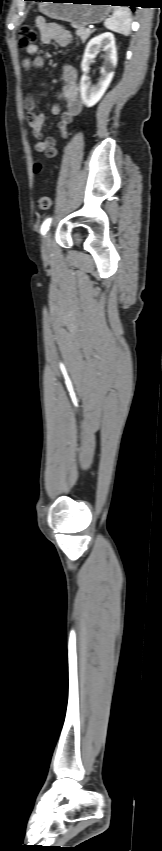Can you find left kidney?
Returning <instances> with one entry per match:
<instances>
[{
	"instance_id": "left-kidney-1",
	"label": "left kidney",
	"mask_w": 162,
	"mask_h": 851,
	"mask_svg": "<svg viewBox=\"0 0 162 851\" xmlns=\"http://www.w3.org/2000/svg\"><path fill=\"white\" fill-rule=\"evenodd\" d=\"M101 49L105 52L104 63L100 68V78L98 83L92 86L87 73L89 72L90 64L94 61L97 52ZM116 65L117 51L115 38L112 33H103L92 38L88 42L81 62L83 75L80 81L81 99L87 107L94 106L102 98L112 81Z\"/></svg>"
}]
</instances>
